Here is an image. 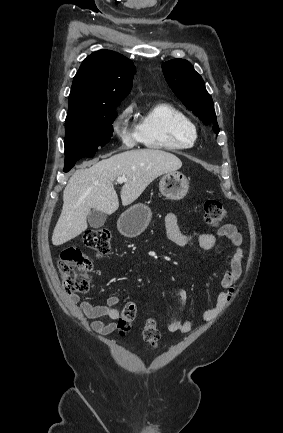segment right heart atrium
Here are the masks:
<instances>
[{
  "instance_id": "d8ad5b80",
  "label": "right heart atrium",
  "mask_w": 283,
  "mask_h": 433,
  "mask_svg": "<svg viewBox=\"0 0 283 433\" xmlns=\"http://www.w3.org/2000/svg\"><path fill=\"white\" fill-rule=\"evenodd\" d=\"M132 105H127L111 122V131L118 143V150H128L141 141L138 130L128 122Z\"/></svg>"
}]
</instances>
